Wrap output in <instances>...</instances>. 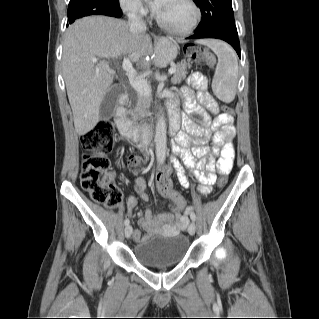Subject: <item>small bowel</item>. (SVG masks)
Segmentation results:
<instances>
[{"label":"small bowel","instance_id":"small-bowel-1","mask_svg":"<svg viewBox=\"0 0 319 319\" xmlns=\"http://www.w3.org/2000/svg\"><path fill=\"white\" fill-rule=\"evenodd\" d=\"M192 87L198 89L195 94L190 85L183 86L181 91L185 98V109L188 114L197 115L202 118V124L198 125L187 117H182V131L178 133L173 145V155L170 161L176 172L177 179L183 188L189 187L188 178L184 172L181 159L192 169V175L199 184L200 193H209L212 186L216 183L217 170L220 174L227 175L230 173L234 159L233 139L236 135L234 117L230 113H220L211 122L210 117L204 112L202 106L211 110L215 104L206 90V83L203 78L195 73L191 76ZM170 117L180 121L179 112L174 103L169 106ZM212 141V147H208V142ZM217 156V159H210L206 162L205 157L209 154ZM169 179V171L166 170L156 177L155 185L159 188L160 179ZM135 191L143 201L149 199L147 194V184L140 179L135 183ZM165 199L173 204L180 203L182 210L177 215L176 222H173L165 213L154 214L147 209L138 224L149 235L158 232L166 234H177L184 230L189 223V213L192 206H186L184 198L172 188L160 190ZM137 204L135 196L131 195L127 199V213L133 214ZM136 243L143 240L138 230L133 232Z\"/></svg>","mask_w":319,"mask_h":319}]
</instances>
